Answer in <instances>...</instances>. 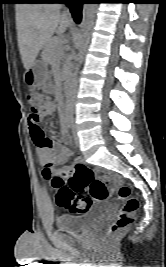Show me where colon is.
<instances>
[{
  "label": "colon",
  "mask_w": 166,
  "mask_h": 267,
  "mask_svg": "<svg viewBox=\"0 0 166 267\" xmlns=\"http://www.w3.org/2000/svg\"><path fill=\"white\" fill-rule=\"evenodd\" d=\"M28 102L31 108V117L37 119L43 112L52 106L48 95L32 91L28 95ZM35 137L39 144L45 143L44 132L41 129L35 131ZM50 170V167H46ZM73 173L66 184V174L56 175L51 180V185L55 191L56 204L75 214H83L90 210L93 200H106L112 195H116L123 201V206L116 217L104 231L106 239L113 238L121 229L133 222L134 214L139 207L137 198L131 195V188L126 184H121L110 188L109 185H115L118 178L111 173H102L100 176L96 172L77 161L73 166ZM89 192V196L83 194Z\"/></svg>",
  "instance_id": "obj_1"
}]
</instances>
